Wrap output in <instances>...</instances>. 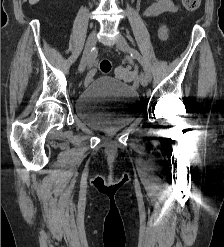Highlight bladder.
Listing matches in <instances>:
<instances>
[{
  "mask_svg": "<svg viewBox=\"0 0 224 247\" xmlns=\"http://www.w3.org/2000/svg\"><path fill=\"white\" fill-rule=\"evenodd\" d=\"M140 108L138 93L125 83L103 76L92 81L77 97L75 111L87 126L108 133L133 122Z\"/></svg>",
  "mask_w": 224,
  "mask_h": 247,
  "instance_id": "obj_1",
  "label": "bladder"
}]
</instances>
